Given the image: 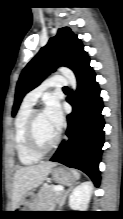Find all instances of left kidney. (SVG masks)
Segmentation results:
<instances>
[{
	"label": "left kidney",
	"instance_id": "obj_1",
	"mask_svg": "<svg viewBox=\"0 0 123 219\" xmlns=\"http://www.w3.org/2000/svg\"><path fill=\"white\" fill-rule=\"evenodd\" d=\"M93 184L86 181L77 186L69 197V206L74 210H85L91 199Z\"/></svg>",
	"mask_w": 123,
	"mask_h": 219
}]
</instances>
